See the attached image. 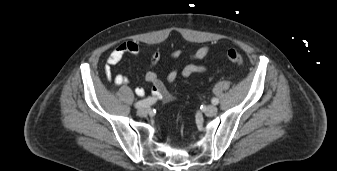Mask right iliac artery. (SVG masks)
<instances>
[{
	"instance_id": "obj_1",
	"label": "right iliac artery",
	"mask_w": 337,
	"mask_h": 171,
	"mask_svg": "<svg viewBox=\"0 0 337 171\" xmlns=\"http://www.w3.org/2000/svg\"><path fill=\"white\" fill-rule=\"evenodd\" d=\"M155 102H156L155 98H147V99H144V100H141V101H138L137 103H135L134 107L139 109V108H142V107H147L149 105H152Z\"/></svg>"
}]
</instances>
